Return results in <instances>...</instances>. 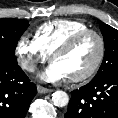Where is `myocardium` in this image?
Instances as JSON below:
<instances>
[{
	"label": "myocardium",
	"mask_w": 118,
	"mask_h": 118,
	"mask_svg": "<svg viewBox=\"0 0 118 118\" xmlns=\"http://www.w3.org/2000/svg\"><path fill=\"white\" fill-rule=\"evenodd\" d=\"M88 36H93L96 38L98 42V47H99L98 55L96 57L95 62L93 63V65L88 71L78 76L69 77L68 80L70 82L87 81L90 78H92L101 67L104 61L105 55H106V43L102 34L93 29H86V30L80 31L74 34L73 36H71L70 38H68L64 43H62L58 48H56L51 54V60L53 61L55 57L71 51L79 42H81L83 39H85Z\"/></svg>",
	"instance_id": "1"
}]
</instances>
